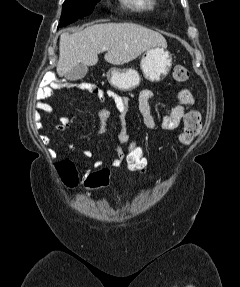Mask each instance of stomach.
Listing matches in <instances>:
<instances>
[{
    "label": "stomach",
    "instance_id": "stomach-1",
    "mask_svg": "<svg viewBox=\"0 0 240 287\" xmlns=\"http://www.w3.org/2000/svg\"><path fill=\"white\" fill-rule=\"evenodd\" d=\"M144 77L151 82L162 81L172 67V56L166 47H152L144 53L140 63ZM110 84L122 91H128L137 87L140 83V75L133 68H111L107 73Z\"/></svg>",
    "mask_w": 240,
    "mask_h": 287
}]
</instances>
